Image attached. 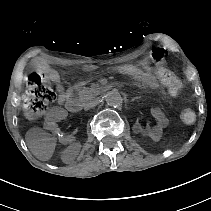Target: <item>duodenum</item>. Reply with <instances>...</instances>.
Here are the masks:
<instances>
[{"instance_id": "obj_1", "label": "duodenum", "mask_w": 211, "mask_h": 211, "mask_svg": "<svg viewBox=\"0 0 211 211\" xmlns=\"http://www.w3.org/2000/svg\"><path fill=\"white\" fill-rule=\"evenodd\" d=\"M121 86H123V84L102 86L98 89V92L102 93L104 91L110 90L113 87H121ZM66 108L72 113H77L81 110V103L78 100L69 99L66 102Z\"/></svg>"}]
</instances>
